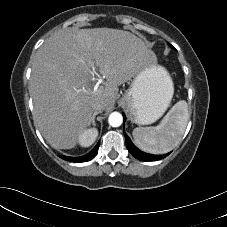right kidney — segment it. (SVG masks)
I'll return each instance as SVG.
<instances>
[{"label":"right kidney","instance_id":"1","mask_svg":"<svg viewBox=\"0 0 227 227\" xmlns=\"http://www.w3.org/2000/svg\"><path fill=\"white\" fill-rule=\"evenodd\" d=\"M98 136V130L95 128H90L85 130L80 136H79V144L82 147H89L91 146L96 138Z\"/></svg>","mask_w":227,"mask_h":227}]
</instances>
